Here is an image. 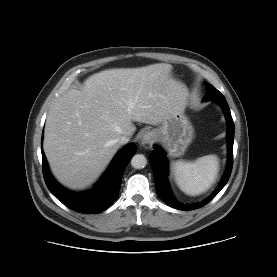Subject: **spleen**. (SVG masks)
Listing matches in <instances>:
<instances>
[{"label":"spleen","instance_id":"obj_1","mask_svg":"<svg viewBox=\"0 0 277 277\" xmlns=\"http://www.w3.org/2000/svg\"><path fill=\"white\" fill-rule=\"evenodd\" d=\"M219 170L216 155H206L194 162L178 160L173 163L174 178L179 188L188 195H199L215 182Z\"/></svg>","mask_w":277,"mask_h":277}]
</instances>
